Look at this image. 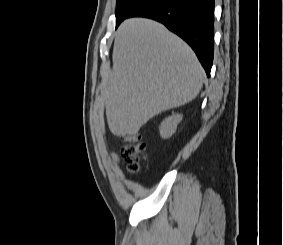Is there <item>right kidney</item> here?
<instances>
[{
    "label": "right kidney",
    "mask_w": 283,
    "mask_h": 245,
    "mask_svg": "<svg viewBox=\"0 0 283 245\" xmlns=\"http://www.w3.org/2000/svg\"><path fill=\"white\" fill-rule=\"evenodd\" d=\"M182 120V115L173 114L171 117L166 118L160 125V135L162 138L166 139L171 137L176 129L178 123Z\"/></svg>",
    "instance_id": "ca27d5eb"
}]
</instances>
